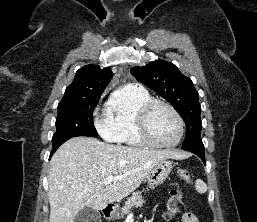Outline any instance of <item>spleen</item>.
<instances>
[{"instance_id": "obj_1", "label": "spleen", "mask_w": 257, "mask_h": 222, "mask_svg": "<svg viewBox=\"0 0 257 222\" xmlns=\"http://www.w3.org/2000/svg\"><path fill=\"white\" fill-rule=\"evenodd\" d=\"M195 188L201 194L205 193L208 189L207 185L201 179L196 180Z\"/></svg>"}]
</instances>
